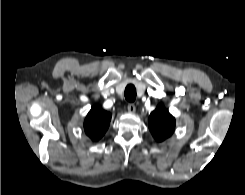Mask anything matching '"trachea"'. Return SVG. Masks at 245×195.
<instances>
[{
	"instance_id": "trachea-1",
	"label": "trachea",
	"mask_w": 245,
	"mask_h": 195,
	"mask_svg": "<svg viewBox=\"0 0 245 195\" xmlns=\"http://www.w3.org/2000/svg\"><path fill=\"white\" fill-rule=\"evenodd\" d=\"M125 99L128 102H133L136 99V88L134 85H127L124 91Z\"/></svg>"
}]
</instances>
